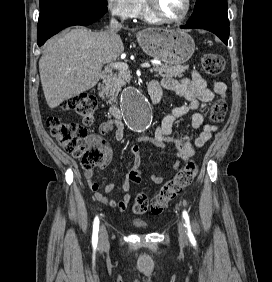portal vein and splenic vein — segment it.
Returning a JSON list of instances; mask_svg holds the SVG:
<instances>
[{
    "instance_id": "obj_1",
    "label": "portal vein and splenic vein",
    "mask_w": 272,
    "mask_h": 282,
    "mask_svg": "<svg viewBox=\"0 0 272 282\" xmlns=\"http://www.w3.org/2000/svg\"><path fill=\"white\" fill-rule=\"evenodd\" d=\"M140 66L142 68H150L151 64L150 63H142ZM109 67L114 68V69H118V70H128V68H129L128 64L124 63V62L110 63Z\"/></svg>"
}]
</instances>
